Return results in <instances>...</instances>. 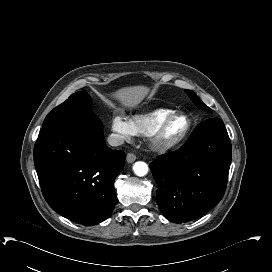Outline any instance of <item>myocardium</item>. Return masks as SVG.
I'll return each mask as SVG.
<instances>
[{"mask_svg":"<svg viewBox=\"0 0 272 272\" xmlns=\"http://www.w3.org/2000/svg\"><path fill=\"white\" fill-rule=\"evenodd\" d=\"M178 118H184L186 125L184 130L182 131V133L180 135H178L177 137L167 140L165 138V134L167 129L169 128L170 124ZM191 129V121L190 119L182 114V113H173L172 115H170L169 117H167L150 135V143L151 145L160 151H168L171 150L175 147H177L178 145H180L182 142H184V140L187 138L189 132Z\"/></svg>","mask_w":272,"mask_h":272,"instance_id":"obj_1","label":"myocardium"}]
</instances>
